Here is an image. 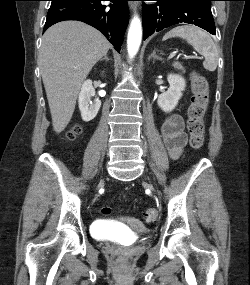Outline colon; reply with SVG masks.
<instances>
[{"label": "colon", "instance_id": "1", "mask_svg": "<svg viewBox=\"0 0 250 285\" xmlns=\"http://www.w3.org/2000/svg\"><path fill=\"white\" fill-rule=\"evenodd\" d=\"M192 97L188 108L187 130L190 136V146L193 149H199L204 143L205 127L204 115L209 101V83L207 79L199 74L192 73L191 75ZM80 132L79 127H75L67 133L69 139H73ZM101 213L108 216L112 213L109 206L101 209ZM144 218L148 222H153L158 216L155 208H147L144 213Z\"/></svg>", "mask_w": 250, "mask_h": 285}]
</instances>
